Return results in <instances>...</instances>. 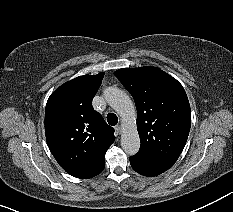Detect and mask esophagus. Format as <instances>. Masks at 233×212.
I'll return each mask as SVG.
<instances>
[{
  "label": "esophagus",
  "mask_w": 233,
  "mask_h": 212,
  "mask_svg": "<svg viewBox=\"0 0 233 212\" xmlns=\"http://www.w3.org/2000/svg\"><path fill=\"white\" fill-rule=\"evenodd\" d=\"M115 130H116L117 133L120 134V133L122 132V127H121V125L115 126Z\"/></svg>",
  "instance_id": "1"
}]
</instances>
